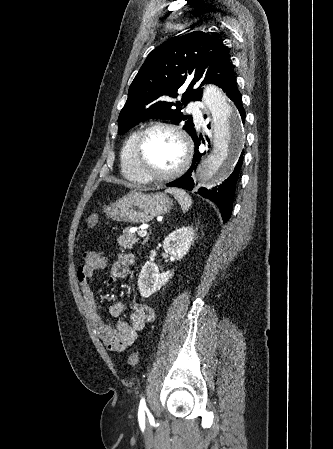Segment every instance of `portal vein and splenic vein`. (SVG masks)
<instances>
[{"label": "portal vein and splenic vein", "mask_w": 333, "mask_h": 449, "mask_svg": "<svg viewBox=\"0 0 333 449\" xmlns=\"http://www.w3.org/2000/svg\"><path fill=\"white\" fill-rule=\"evenodd\" d=\"M138 235L140 237H145L147 235V231H145V230L138 231Z\"/></svg>", "instance_id": "18ae733b"}]
</instances>
